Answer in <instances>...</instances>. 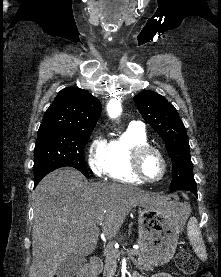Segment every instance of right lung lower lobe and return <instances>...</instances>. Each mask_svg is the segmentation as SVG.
<instances>
[{"mask_svg":"<svg viewBox=\"0 0 221 277\" xmlns=\"http://www.w3.org/2000/svg\"><path fill=\"white\" fill-rule=\"evenodd\" d=\"M39 181H40V180H35V186L38 184Z\"/></svg>","mask_w":221,"mask_h":277,"instance_id":"obj_1","label":"right lung lower lobe"}]
</instances>
